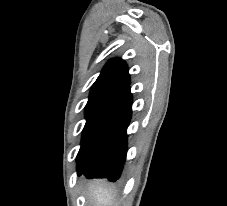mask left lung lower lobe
<instances>
[{
	"instance_id": "0a47b994",
	"label": "left lung lower lobe",
	"mask_w": 227,
	"mask_h": 206,
	"mask_svg": "<svg viewBox=\"0 0 227 206\" xmlns=\"http://www.w3.org/2000/svg\"><path fill=\"white\" fill-rule=\"evenodd\" d=\"M132 94L127 86L106 108L92 137L89 153L77 164L78 175L116 181L127 153V127L132 113Z\"/></svg>"
}]
</instances>
